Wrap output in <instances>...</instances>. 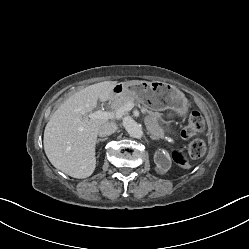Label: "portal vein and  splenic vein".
<instances>
[{
    "instance_id": "18ae733b",
    "label": "portal vein and splenic vein",
    "mask_w": 249,
    "mask_h": 249,
    "mask_svg": "<svg viewBox=\"0 0 249 249\" xmlns=\"http://www.w3.org/2000/svg\"><path fill=\"white\" fill-rule=\"evenodd\" d=\"M134 105L132 103H127L123 108L117 111H102L98 110L96 112L90 113L88 116L90 119H113V118H121L125 112L130 111Z\"/></svg>"
}]
</instances>
